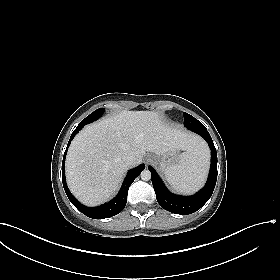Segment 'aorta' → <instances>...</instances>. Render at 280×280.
Returning <instances> with one entry per match:
<instances>
[{"label":"aorta","mask_w":280,"mask_h":280,"mask_svg":"<svg viewBox=\"0 0 280 280\" xmlns=\"http://www.w3.org/2000/svg\"><path fill=\"white\" fill-rule=\"evenodd\" d=\"M140 176L143 181H149L151 179V172L149 170H143Z\"/></svg>","instance_id":"aorta-1"}]
</instances>
